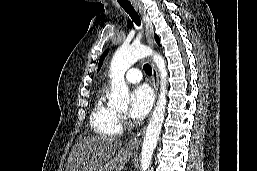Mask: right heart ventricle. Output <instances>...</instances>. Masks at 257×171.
Returning a JSON list of instances; mask_svg holds the SVG:
<instances>
[{
	"instance_id": "right-heart-ventricle-1",
	"label": "right heart ventricle",
	"mask_w": 257,
	"mask_h": 171,
	"mask_svg": "<svg viewBox=\"0 0 257 171\" xmlns=\"http://www.w3.org/2000/svg\"><path fill=\"white\" fill-rule=\"evenodd\" d=\"M90 126L96 134L104 136H118L122 131L119 114L107 102L105 90L95 100L90 114Z\"/></svg>"
}]
</instances>
